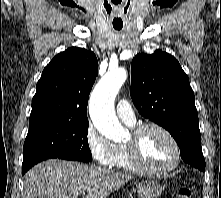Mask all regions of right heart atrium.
<instances>
[{"instance_id": "1", "label": "right heart atrium", "mask_w": 221, "mask_h": 198, "mask_svg": "<svg viewBox=\"0 0 221 198\" xmlns=\"http://www.w3.org/2000/svg\"><path fill=\"white\" fill-rule=\"evenodd\" d=\"M85 143L98 164L106 167L112 166L115 144L105 138L92 123H89L86 128Z\"/></svg>"}]
</instances>
